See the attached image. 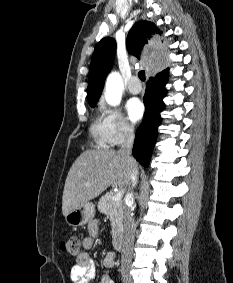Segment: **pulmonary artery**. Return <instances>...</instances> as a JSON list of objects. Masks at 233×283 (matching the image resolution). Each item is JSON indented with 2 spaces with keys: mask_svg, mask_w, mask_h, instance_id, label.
Segmentation results:
<instances>
[{
  "mask_svg": "<svg viewBox=\"0 0 233 283\" xmlns=\"http://www.w3.org/2000/svg\"><path fill=\"white\" fill-rule=\"evenodd\" d=\"M128 90L131 94H139L142 90L141 83L137 76H133L128 83Z\"/></svg>",
  "mask_w": 233,
  "mask_h": 283,
  "instance_id": "pulmonary-artery-1",
  "label": "pulmonary artery"
}]
</instances>
